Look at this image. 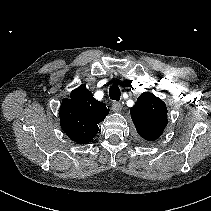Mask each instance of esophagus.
Segmentation results:
<instances>
[{
  "label": "esophagus",
  "mask_w": 211,
  "mask_h": 211,
  "mask_svg": "<svg viewBox=\"0 0 211 211\" xmlns=\"http://www.w3.org/2000/svg\"><path fill=\"white\" fill-rule=\"evenodd\" d=\"M112 110H113L114 112H120V111L122 110L121 104H120L119 102L114 101V102L112 103Z\"/></svg>",
  "instance_id": "1"
}]
</instances>
